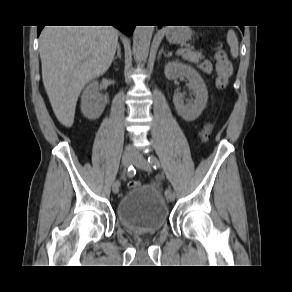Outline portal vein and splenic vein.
<instances>
[{
	"label": "portal vein and splenic vein",
	"instance_id": "obj_1",
	"mask_svg": "<svg viewBox=\"0 0 292 292\" xmlns=\"http://www.w3.org/2000/svg\"><path fill=\"white\" fill-rule=\"evenodd\" d=\"M181 52H183V49L177 50L176 53L180 54Z\"/></svg>",
	"mask_w": 292,
	"mask_h": 292
}]
</instances>
